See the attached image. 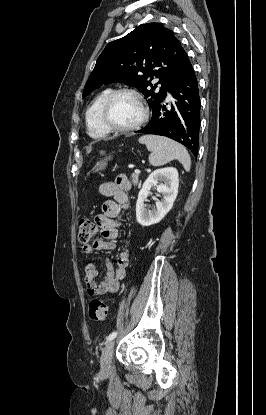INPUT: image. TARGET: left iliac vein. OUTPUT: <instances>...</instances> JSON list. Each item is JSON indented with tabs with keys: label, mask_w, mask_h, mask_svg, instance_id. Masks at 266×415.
Wrapping results in <instances>:
<instances>
[{
	"label": "left iliac vein",
	"mask_w": 266,
	"mask_h": 415,
	"mask_svg": "<svg viewBox=\"0 0 266 415\" xmlns=\"http://www.w3.org/2000/svg\"><path fill=\"white\" fill-rule=\"evenodd\" d=\"M114 349V341H108L105 347L102 350L100 358L101 372L107 374L111 367L112 355Z\"/></svg>",
	"instance_id": "left-iliac-vein-1"
}]
</instances>
